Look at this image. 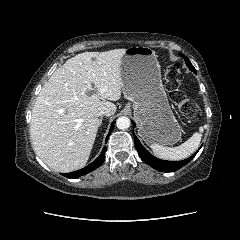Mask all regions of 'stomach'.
Here are the masks:
<instances>
[{"label": "stomach", "mask_w": 240, "mask_h": 240, "mask_svg": "<svg viewBox=\"0 0 240 240\" xmlns=\"http://www.w3.org/2000/svg\"><path fill=\"white\" fill-rule=\"evenodd\" d=\"M122 92L132 102L138 133L148 145H173L181 139V127L169 106L161 82L155 52L144 46L130 47L121 63Z\"/></svg>", "instance_id": "1"}]
</instances>
